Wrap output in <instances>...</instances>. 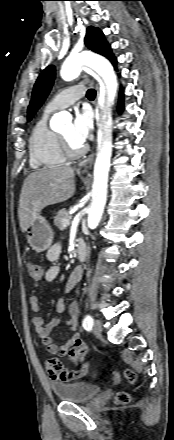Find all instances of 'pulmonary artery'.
<instances>
[{
  "label": "pulmonary artery",
  "instance_id": "e3ab8cb5",
  "mask_svg": "<svg viewBox=\"0 0 174 440\" xmlns=\"http://www.w3.org/2000/svg\"><path fill=\"white\" fill-rule=\"evenodd\" d=\"M86 94L84 85H76L69 87L57 94L46 106L45 111L54 112L56 110L68 107L76 100L82 98Z\"/></svg>",
  "mask_w": 174,
  "mask_h": 440
}]
</instances>
